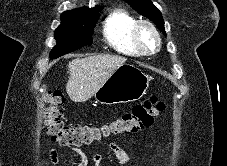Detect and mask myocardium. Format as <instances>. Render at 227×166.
I'll use <instances>...</instances> for the list:
<instances>
[{
	"label": "myocardium",
	"instance_id": "myocardium-1",
	"mask_svg": "<svg viewBox=\"0 0 227 166\" xmlns=\"http://www.w3.org/2000/svg\"><path fill=\"white\" fill-rule=\"evenodd\" d=\"M143 28L148 29L154 37L155 43L152 48H147L141 42L140 32ZM132 40L136 48L144 55H150L157 52L161 46L160 34L154 24L148 20H139L135 23L132 29Z\"/></svg>",
	"mask_w": 227,
	"mask_h": 166
}]
</instances>
